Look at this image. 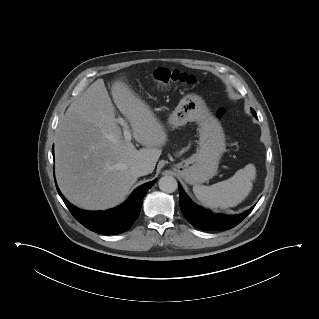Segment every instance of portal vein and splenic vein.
<instances>
[{"label": "portal vein and splenic vein", "instance_id": "18ae733b", "mask_svg": "<svg viewBox=\"0 0 319 319\" xmlns=\"http://www.w3.org/2000/svg\"><path fill=\"white\" fill-rule=\"evenodd\" d=\"M117 122L123 127V134H124L125 140L130 142L132 137H131V132H130L128 124L122 118L118 119Z\"/></svg>", "mask_w": 319, "mask_h": 319}]
</instances>
